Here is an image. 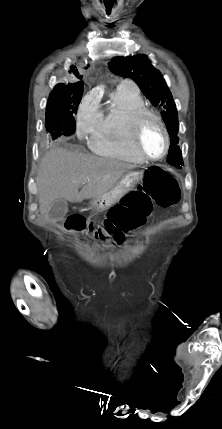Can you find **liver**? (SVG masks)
Wrapping results in <instances>:
<instances>
[{
	"instance_id": "1",
	"label": "liver",
	"mask_w": 222,
	"mask_h": 429,
	"mask_svg": "<svg viewBox=\"0 0 222 429\" xmlns=\"http://www.w3.org/2000/svg\"><path fill=\"white\" fill-rule=\"evenodd\" d=\"M136 166L62 148L51 149L41 160L37 176L39 209L47 215L54 202H81L111 190ZM83 185L79 192V187Z\"/></svg>"
}]
</instances>
